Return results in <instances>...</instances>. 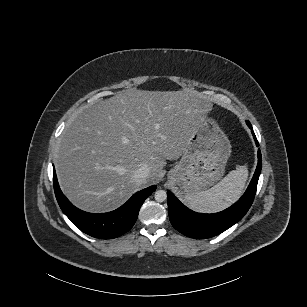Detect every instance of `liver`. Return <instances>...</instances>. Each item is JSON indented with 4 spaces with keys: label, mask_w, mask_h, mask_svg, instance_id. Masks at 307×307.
<instances>
[{
    "label": "liver",
    "mask_w": 307,
    "mask_h": 307,
    "mask_svg": "<svg viewBox=\"0 0 307 307\" xmlns=\"http://www.w3.org/2000/svg\"><path fill=\"white\" fill-rule=\"evenodd\" d=\"M211 107L192 89L125 90L89 107L68 125L55 157L63 194L88 213L116 210L136 192L138 167L147 164L146 181H155Z\"/></svg>",
    "instance_id": "liver-1"
}]
</instances>
